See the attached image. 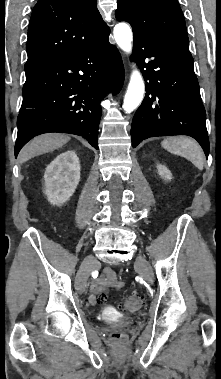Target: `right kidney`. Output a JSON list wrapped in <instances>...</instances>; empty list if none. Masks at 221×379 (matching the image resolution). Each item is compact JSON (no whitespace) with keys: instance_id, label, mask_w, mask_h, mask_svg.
I'll return each mask as SVG.
<instances>
[{"instance_id":"1","label":"right kidney","mask_w":221,"mask_h":379,"mask_svg":"<svg viewBox=\"0 0 221 379\" xmlns=\"http://www.w3.org/2000/svg\"><path fill=\"white\" fill-rule=\"evenodd\" d=\"M45 194L52 205L61 206L74 194L80 181V162L75 151L59 154L46 168Z\"/></svg>"}]
</instances>
